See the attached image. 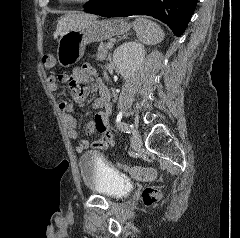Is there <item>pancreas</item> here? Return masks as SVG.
Returning a JSON list of instances; mask_svg holds the SVG:
<instances>
[{"instance_id": "obj_1", "label": "pancreas", "mask_w": 240, "mask_h": 238, "mask_svg": "<svg viewBox=\"0 0 240 238\" xmlns=\"http://www.w3.org/2000/svg\"><path fill=\"white\" fill-rule=\"evenodd\" d=\"M108 43L103 44L100 48H98L96 59L98 61H104L108 56Z\"/></svg>"}]
</instances>
